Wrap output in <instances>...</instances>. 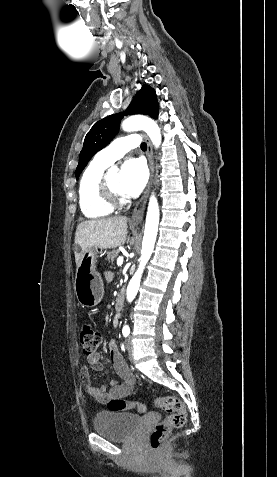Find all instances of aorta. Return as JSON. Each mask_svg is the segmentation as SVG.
Segmentation results:
<instances>
[{
	"instance_id": "obj_1",
	"label": "aorta",
	"mask_w": 277,
	"mask_h": 477,
	"mask_svg": "<svg viewBox=\"0 0 277 477\" xmlns=\"http://www.w3.org/2000/svg\"><path fill=\"white\" fill-rule=\"evenodd\" d=\"M122 129L127 132L136 131V130H144L147 133V135L150 137L153 145L156 148L159 147L161 144L162 137L160 133V128L154 120L148 117H145V116L129 117L123 121ZM109 171L115 173L117 169L115 167H111ZM158 225H159V206H158V201L156 197L152 195L150 197L148 209H147L140 264L137 271L135 272L132 279L130 280L128 288H127L128 302H132L138 292L143 270L148 260L150 259L154 249L157 232H158Z\"/></svg>"
}]
</instances>
